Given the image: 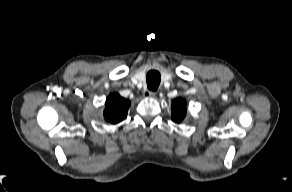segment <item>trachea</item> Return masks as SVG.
<instances>
[{"instance_id":"trachea-1","label":"trachea","mask_w":292,"mask_h":192,"mask_svg":"<svg viewBox=\"0 0 292 192\" xmlns=\"http://www.w3.org/2000/svg\"><path fill=\"white\" fill-rule=\"evenodd\" d=\"M161 81V76L158 71L151 70L147 73L146 82L148 89L151 91H156Z\"/></svg>"}]
</instances>
